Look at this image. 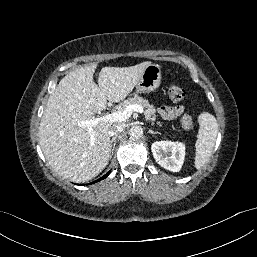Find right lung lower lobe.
I'll list each match as a JSON object with an SVG mask.
<instances>
[{
    "label": "right lung lower lobe",
    "instance_id": "98d812e1",
    "mask_svg": "<svg viewBox=\"0 0 257 257\" xmlns=\"http://www.w3.org/2000/svg\"><path fill=\"white\" fill-rule=\"evenodd\" d=\"M110 172H108L107 174H105L104 176H102L101 178H99L98 180L94 181L93 183L97 182V181H100L104 178H106L108 175H109Z\"/></svg>",
    "mask_w": 257,
    "mask_h": 257
}]
</instances>
